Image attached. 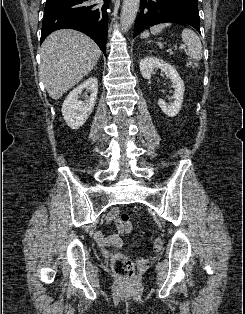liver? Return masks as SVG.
I'll use <instances>...</instances> for the list:
<instances>
[{
	"instance_id": "1",
	"label": "liver",
	"mask_w": 245,
	"mask_h": 314,
	"mask_svg": "<svg viewBox=\"0 0 245 314\" xmlns=\"http://www.w3.org/2000/svg\"><path fill=\"white\" fill-rule=\"evenodd\" d=\"M40 55V77L49 96L57 100L93 69L101 50L84 33L60 29L45 39Z\"/></svg>"
}]
</instances>
